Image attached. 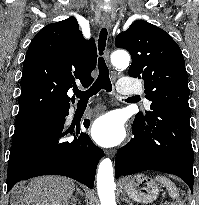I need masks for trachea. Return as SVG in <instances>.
I'll return each mask as SVG.
<instances>
[{
  "label": "trachea",
  "instance_id": "1",
  "mask_svg": "<svg viewBox=\"0 0 199 205\" xmlns=\"http://www.w3.org/2000/svg\"><path fill=\"white\" fill-rule=\"evenodd\" d=\"M107 40V29L102 28L98 39L99 59L98 70L99 75L93 85L86 91L82 92L78 89L74 90V94L81 100H88L91 96L96 95L101 89H105L107 92L112 91V84L109 78V70L102 57Z\"/></svg>",
  "mask_w": 199,
  "mask_h": 205
}]
</instances>
